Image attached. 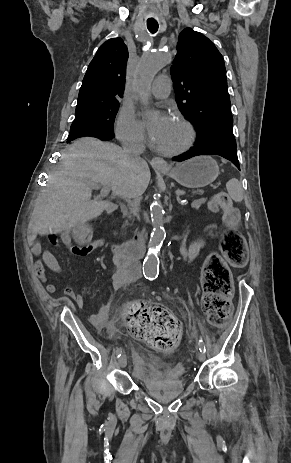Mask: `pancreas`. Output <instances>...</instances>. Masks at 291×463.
I'll return each instance as SVG.
<instances>
[{"label":"pancreas","mask_w":291,"mask_h":463,"mask_svg":"<svg viewBox=\"0 0 291 463\" xmlns=\"http://www.w3.org/2000/svg\"><path fill=\"white\" fill-rule=\"evenodd\" d=\"M197 194H198V191H192V192H191V195H189V196L194 197V196L197 195ZM123 217H128V214L125 213V214L123 215ZM126 223H127V221H126Z\"/></svg>","instance_id":"cf45deb5"}]
</instances>
